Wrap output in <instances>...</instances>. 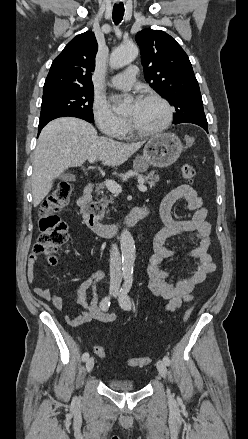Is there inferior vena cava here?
Wrapping results in <instances>:
<instances>
[{"label": "inferior vena cava", "mask_w": 248, "mask_h": 439, "mask_svg": "<svg viewBox=\"0 0 248 439\" xmlns=\"http://www.w3.org/2000/svg\"><path fill=\"white\" fill-rule=\"evenodd\" d=\"M122 281L121 274V257L116 244H112L110 250V282L116 286H120Z\"/></svg>", "instance_id": "obj_1"}]
</instances>
